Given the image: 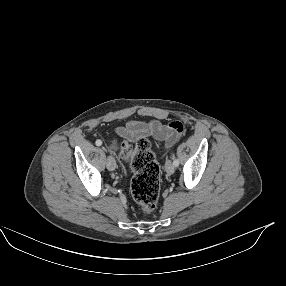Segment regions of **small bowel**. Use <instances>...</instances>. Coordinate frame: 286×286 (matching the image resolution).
<instances>
[{"label": "small bowel", "instance_id": "1", "mask_svg": "<svg viewBox=\"0 0 286 286\" xmlns=\"http://www.w3.org/2000/svg\"><path fill=\"white\" fill-rule=\"evenodd\" d=\"M180 124H182L180 121H173L169 124H163L159 120L134 121L119 128L117 132L129 140L144 135H152L157 140L164 141L166 146L170 148L176 144L183 132Z\"/></svg>", "mask_w": 286, "mask_h": 286}]
</instances>
